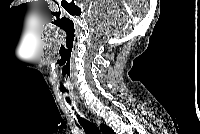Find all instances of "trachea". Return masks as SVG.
Here are the masks:
<instances>
[{
	"mask_svg": "<svg viewBox=\"0 0 200 134\" xmlns=\"http://www.w3.org/2000/svg\"><path fill=\"white\" fill-rule=\"evenodd\" d=\"M69 104L71 105V102H69ZM72 109H74L73 106H72ZM77 118L80 125L83 127V129L85 130L87 134H100L98 128L93 123L80 117L78 114H77Z\"/></svg>",
	"mask_w": 200,
	"mask_h": 134,
	"instance_id": "3493384b",
	"label": "trachea"
}]
</instances>
